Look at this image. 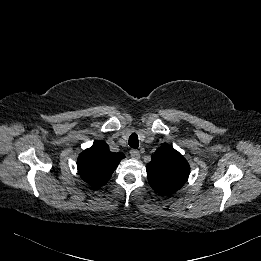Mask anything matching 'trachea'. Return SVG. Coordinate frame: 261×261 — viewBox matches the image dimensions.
Masks as SVG:
<instances>
[{
  "mask_svg": "<svg viewBox=\"0 0 261 261\" xmlns=\"http://www.w3.org/2000/svg\"><path fill=\"white\" fill-rule=\"evenodd\" d=\"M129 146L132 148H138L139 146V140L138 135L136 133H132L129 137Z\"/></svg>",
  "mask_w": 261,
  "mask_h": 261,
  "instance_id": "trachea-1",
  "label": "trachea"
}]
</instances>
